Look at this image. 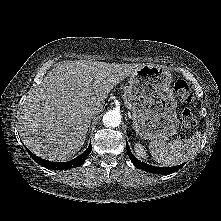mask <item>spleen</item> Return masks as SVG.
I'll return each instance as SVG.
<instances>
[{"label": "spleen", "mask_w": 221, "mask_h": 221, "mask_svg": "<svg viewBox=\"0 0 221 221\" xmlns=\"http://www.w3.org/2000/svg\"><path fill=\"white\" fill-rule=\"evenodd\" d=\"M201 133L195 132L192 138L174 140L168 144L154 140L149 143L150 153L155 161L163 166L179 165L190 159L200 148Z\"/></svg>", "instance_id": "spleen-1"}]
</instances>
